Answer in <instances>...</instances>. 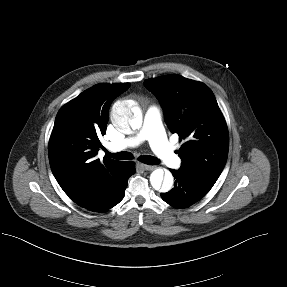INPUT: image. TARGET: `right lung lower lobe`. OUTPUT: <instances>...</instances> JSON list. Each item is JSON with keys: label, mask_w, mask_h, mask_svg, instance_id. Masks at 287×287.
Here are the masks:
<instances>
[{"label": "right lung lower lobe", "mask_w": 287, "mask_h": 287, "mask_svg": "<svg viewBox=\"0 0 287 287\" xmlns=\"http://www.w3.org/2000/svg\"><path fill=\"white\" fill-rule=\"evenodd\" d=\"M135 173L131 161L125 162L121 173L109 181L94 199L81 206L95 212L106 211L117 205L124 197L128 178Z\"/></svg>", "instance_id": "obj_1"}]
</instances>
